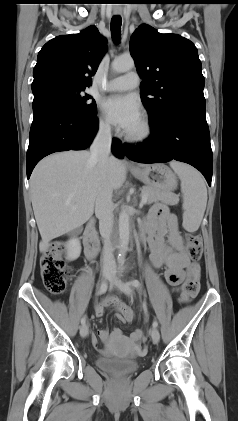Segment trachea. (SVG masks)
<instances>
[{
  "instance_id": "1",
  "label": "trachea",
  "mask_w": 238,
  "mask_h": 421,
  "mask_svg": "<svg viewBox=\"0 0 238 421\" xmlns=\"http://www.w3.org/2000/svg\"><path fill=\"white\" fill-rule=\"evenodd\" d=\"M121 24H122V19L120 16H114L111 19V34H112V38L113 41L115 43H119L120 41V36H121Z\"/></svg>"
}]
</instances>
